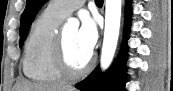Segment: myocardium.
<instances>
[{
  "label": "myocardium",
  "instance_id": "myocardium-1",
  "mask_svg": "<svg viewBox=\"0 0 173 91\" xmlns=\"http://www.w3.org/2000/svg\"><path fill=\"white\" fill-rule=\"evenodd\" d=\"M53 61L55 69L63 76V78L77 79L84 76L91 69L94 57L90 56L87 63L82 68L74 69L67 55L63 32H59L54 47Z\"/></svg>",
  "mask_w": 173,
  "mask_h": 91
}]
</instances>
